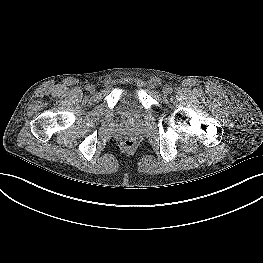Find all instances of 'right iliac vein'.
<instances>
[{
  "mask_svg": "<svg viewBox=\"0 0 263 263\" xmlns=\"http://www.w3.org/2000/svg\"><path fill=\"white\" fill-rule=\"evenodd\" d=\"M95 90H96L95 86L94 85H90L89 91L93 93V92H95Z\"/></svg>",
  "mask_w": 263,
  "mask_h": 263,
  "instance_id": "obj_1",
  "label": "right iliac vein"
}]
</instances>
